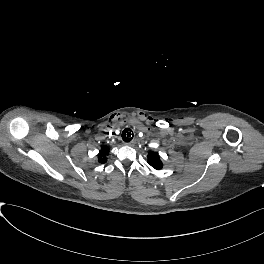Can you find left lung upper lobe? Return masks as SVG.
<instances>
[{
	"label": "left lung upper lobe",
	"instance_id": "1",
	"mask_svg": "<svg viewBox=\"0 0 264 264\" xmlns=\"http://www.w3.org/2000/svg\"><path fill=\"white\" fill-rule=\"evenodd\" d=\"M148 163L157 170L163 167V164H162V161L160 160L159 155L155 152H150L148 154Z\"/></svg>",
	"mask_w": 264,
	"mask_h": 264
}]
</instances>
